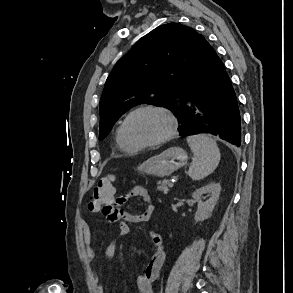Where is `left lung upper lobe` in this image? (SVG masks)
<instances>
[{
    "instance_id": "1",
    "label": "left lung upper lobe",
    "mask_w": 293,
    "mask_h": 293,
    "mask_svg": "<svg viewBox=\"0 0 293 293\" xmlns=\"http://www.w3.org/2000/svg\"><path fill=\"white\" fill-rule=\"evenodd\" d=\"M212 51L204 36L179 23L161 25L142 37L106 80L99 139L136 105L167 107L179 116L182 99L203 80Z\"/></svg>"
}]
</instances>
